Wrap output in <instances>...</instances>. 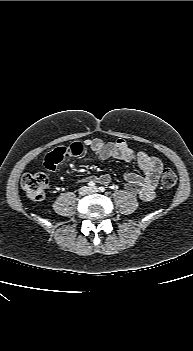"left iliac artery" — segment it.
I'll list each match as a JSON object with an SVG mask.
<instances>
[{"mask_svg":"<svg viewBox=\"0 0 193 351\" xmlns=\"http://www.w3.org/2000/svg\"><path fill=\"white\" fill-rule=\"evenodd\" d=\"M99 191L100 192H104L105 191V187H103V186L99 187Z\"/></svg>","mask_w":193,"mask_h":351,"instance_id":"44dca946","label":"left iliac artery"}]
</instances>
